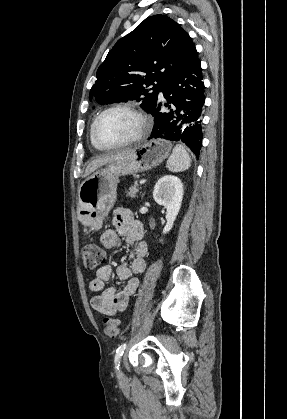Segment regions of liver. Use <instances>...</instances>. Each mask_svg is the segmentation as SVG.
<instances>
[{"instance_id":"1","label":"liver","mask_w":287,"mask_h":419,"mask_svg":"<svg viewBox=\"0 0 287 419\" xmlns=\"http://www.w3.org/2000/svg\"><path fill=\"white\" fill-rule=\"evenodd\" d=\"M132 149H128V150H122V151H117L114 153H109V154H105L102 156H99L95 159H93L91 162L88 163L85 173H84V177L90 175L92 172H94L96 169L114 161L117 160L119 158H121L122 156H124L125 154L129 153Z\"/></svg>"}]
</instances>
